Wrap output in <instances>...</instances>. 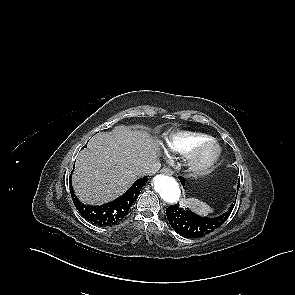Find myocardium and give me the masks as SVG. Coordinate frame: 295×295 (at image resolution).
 Masks as SVG:
<instances>
[{
    "instance_id": "1",
    "label": "myocardium",
    "mask_w": 295,
    "mask_h": 295,
    "mask_svg": "<svg viewBox=\"0 0 295 295\" xmlns=\"http://www.w3.org/2000/svg\"><path fill=\"white\" fill-rule=\"evenodd\" d=\"M222 154L220 144L208 138L196 144L187 154L186 163L191 172L202 175L211 171Z\"/></svg>"
}]
</instances>
